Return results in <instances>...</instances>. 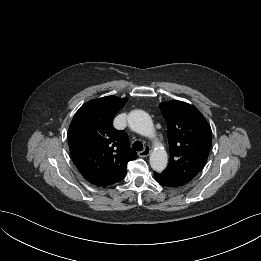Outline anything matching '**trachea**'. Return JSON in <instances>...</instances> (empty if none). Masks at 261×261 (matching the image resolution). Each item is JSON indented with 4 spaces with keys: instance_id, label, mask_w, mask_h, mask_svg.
Here are the masks:
<instances>
[{
    "instance_id": "obj_1",
    "label": "trachea",
    "mask_w": 261,
    "mask_h": 261,
    "mask_svg": "<svg viewBox=\"0 0 261 261\" xmlns=\"http://www.w3.org/2000/svg\"><path fill=\"white\" fill-rule=\"evenodd\" d=\"M132 150L142 151L143 150V144L140 141H135L132 145Z\"/></svg>"
}]
</instances>
